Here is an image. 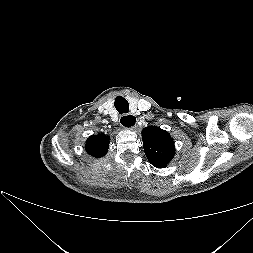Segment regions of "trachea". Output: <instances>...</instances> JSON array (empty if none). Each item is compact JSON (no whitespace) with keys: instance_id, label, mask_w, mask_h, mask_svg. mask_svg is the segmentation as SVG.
I'll list each match as a JSON object with an SVG mask.
<instances>
[{"instance_id":"3493384b","label":"trachea","mask_w":253,"mask_h":253,"mask_svg":"<svg viewBox=\"0 0 253 253\" xmlns=\"http://www.w3.org/2000/svg\"><path fill=\"white\" fill-rule=\"evenodd\" d=\"M114 106L120 114L128 113L129 111L128 101L121 96L116 98Z\"/></svg>"}]
</instances>
